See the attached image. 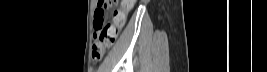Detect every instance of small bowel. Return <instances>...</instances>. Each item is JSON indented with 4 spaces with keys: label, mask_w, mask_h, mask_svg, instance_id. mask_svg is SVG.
<instances>
[{
    "label": "small bowel",
    "mask_w": 267,
    "mask_h": 72,
    "mask_svg": "<svg viewBox=\"0 0 267 72\" xmlns=\"http://www.w3.org/2000/svg\"><path fill=\"white\" fill-rule=\"evenodd\" d=\"M133 5H134V1L132 0L124 1L122 5L124 8V14L113 18V21H115L119 25L120 28L124 25L125 20H126V15L132 9Z\"/></svg>",
    "instance_id": "obj_1"
}]
</instances>
